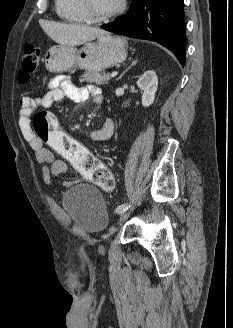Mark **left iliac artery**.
<instances>
[{
	"label": "left iliac artery",
	"mask_w": 233,
	"mask_h": 328,
	"mask_svg": "<svg viewBox=\"0 0 233 328\" xmlns=\"http://www.w3.org/2000/svg\"><path fill=\"white\" fill-rule=\"evenodd\" d=\"M129 207H130V205H128V204H121L116 208V212L118 214L122 213V212L126 211Z\"/></svg>",
	"instance_id": "obj_1"
}]
</instances>
